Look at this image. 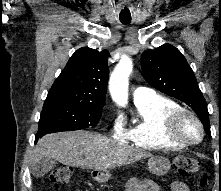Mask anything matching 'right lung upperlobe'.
<instances>
[{"mask_svg":"<svg viewBox=\"0 0 221 191\" xmlns=\"http://www.w3.org/2000/svg\"><path fill=\"white\" fill-rule=\"evenodd\" d=\"M108 54L107 50L78 49L55 80L44 105L80 103L103 107L109 75Z\"/></svg>","mask_w":221,"mask_h":191,"instance_id":"1","label":"right lung upper lobe"}]
</instances>
